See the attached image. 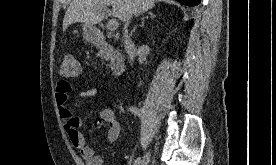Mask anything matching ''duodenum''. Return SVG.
<instances>
[{"label":"duodenum","instance_id":"410a0bca","mask_svg":"<svg viewBox=\"0 0 276 165\" xmlns=\"http://www.w3.org/2000/svg\"><path fill=\"white\" fill-rule=\"evenodd\" d=\"M91 42L99 48L108 58L111 72L119 76L124 72L125 60L121 51L107 42L101 32H94L90 35Z\"/></svg>","mask_w":276,"mask_h":165}]
</instances>
